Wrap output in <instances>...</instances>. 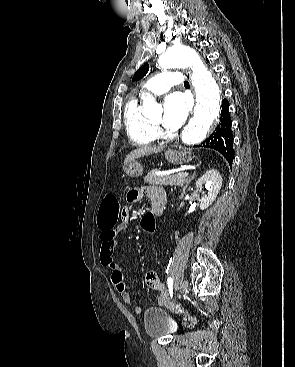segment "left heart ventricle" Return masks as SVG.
Wrapping results in <instances>:
<instances>
[{
  "label": "left heart ventricle",
  "instance_id": "left-heart-ventricle-1",
  "mask_svg": "<svg viewBox=\"0 0 295 367\" xmlns=\"http://www.w3.org/2000/svg\"><path fill=\"white\" fill-rule=\"evenodd\" d=\"M161 119H162V115L161 114H158V115H156L155 117H153L151 119V122H153L155 124H159L161 122Z\"/></svg>",
  "mask_w": 295,
  "mask_h": 367
}]
</instances>
